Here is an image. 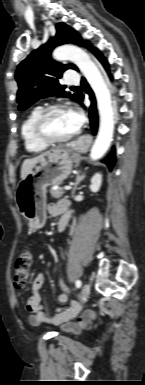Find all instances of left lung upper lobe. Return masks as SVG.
I'll use <instances>...</instances> for the list:
<instances>
[{
  "instance_id": "5c2ea615",
  "label": "left lung upper lobe",
  "mask_w": 145,
  "mask_h": 385,
  "mask_svg": "<svg viewBox=\"0 0 145 385\" xmlns=\"http://www.w3.org/2000/svg\"><path fill=\"white\" fill-rule=\"evenodd\" d=\"M56 36L46 44L34 50L17 67L15 79L19 89L17 92L18 109L24 110L41 98L49 96L70 97L80 102L82 95L65 92V86L58 83L62 73L71 68L77 70L73 64L65 65L51 59L52 50L64 43H73L88 47V42L83 41L80 35L64 23L56 26Z\"/></svg>"
}]
</instances>
